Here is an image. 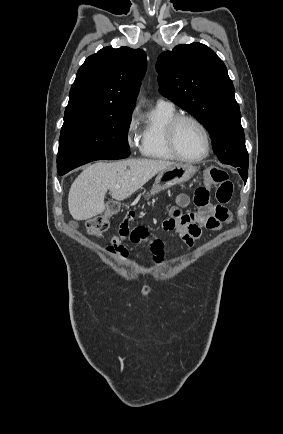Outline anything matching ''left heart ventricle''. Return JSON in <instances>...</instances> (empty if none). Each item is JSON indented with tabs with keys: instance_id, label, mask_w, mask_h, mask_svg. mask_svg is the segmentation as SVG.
<instances>
[{
	"instance_id": "1",
	"label": "left heart ventricle",
	"mask_w": 283,
	"mask_h": 434,
	"mask_svg": "<svg viewBox=\"0 0 283 434\" xmlns=\"http://www.w3.org/2000/svg\"><path fill=\"white\" fill-rule=\"evenodd\" d=\"M176 144L186 157H198L204 152L205 144L201 130L191 121H182L176 130Z\"/></svg>"
}]
</instances>
